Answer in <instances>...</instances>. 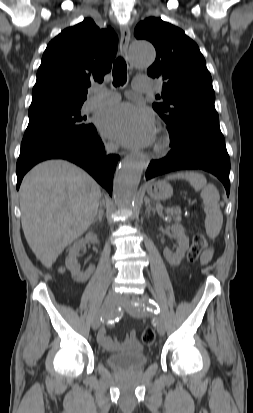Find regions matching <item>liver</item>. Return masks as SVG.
Listing matches in <instances>:
<instances>
[{"label": "liver", "mask_w": 253, "mask_h": 413, "mask_svg": "<svg viewBox=\"0 0 253 413\" xmlns=\"http://www.w3.org/2000/svg\"><path fill=\"white\" fill-rule=\"evenodd\" d=\"M21 223L28 245L46 268L95 219L100 186L84 170L64 160L36 165L20 190Z\"/></svg>", "instance_id": "liver-1"}]
</instances>
